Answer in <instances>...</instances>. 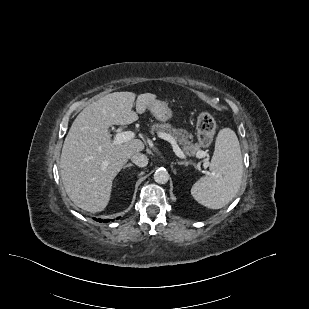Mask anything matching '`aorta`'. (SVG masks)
Returning <instances> with one entry per match:
<instances>
[{"instance_id": "obj_1", "label": "aorta", "mask_w": 309, "mask_h": 309, "mask_svg": "<svg viewBox=\"0 0 309 309\" xmlns=\"http://www.w3.org/2000/svg\"><path fill=\"white\" fill-rule=\"evenodd\" d=\"M154 180L158 184H165L169 180V173L165 168H159L154 173Z\"/></svg>"}]
</instances>
